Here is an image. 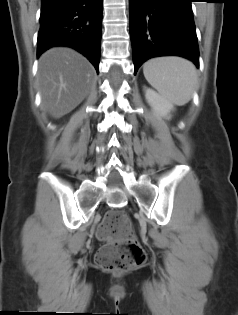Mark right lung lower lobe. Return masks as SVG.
Segmentation results:
<instances>
[{"label": "right lung lower lobe", "mask_w": 238, "mask_h": 315, "mask_svg": "<svg viewBox=\"0 0 238 315\" xmlns=\"http://www.w3.org/2000/svg\"><path fill=\"white\" fill-rule=\"evenodd\" d=\"M103 0H41L37 56L52 46L76 49L99 72Z\"/></svg>", "instance_id": "1"}]
</instances>
